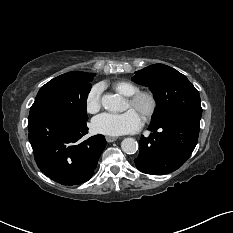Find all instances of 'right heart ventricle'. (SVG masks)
<instances>
[{"instance_id": "1", "label": "right heart ventricle", "mask_w": 233, "mask_h": 233, "mask_svg": "<svg viewBox=\"0 0 233 233\" xmlns=\"http://www.w3.org/2000/svg\"><path fill=\"white\" fill-rule=\"evenodd\" d=\"M113 89L125 96V97H129L131 96L132 94H134L135 92L139 91V87L130 82V81H125V80H122V81H117L113 84Z\"/></svg>"}]
</instances>
